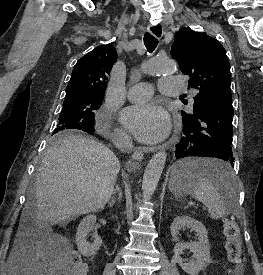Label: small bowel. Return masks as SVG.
Masks as SVG:
<instances>
[{
    "label": "small bowel",
    "mask_w": 263,
    "mask_h": 275,
    "mask_svg": "<svg viewBox=\"0 0 263 275\" xmlns=\"http://www.w3.org/2000/svg\"><path fill=\"white\" fill-rule=\"evenodd\" d=\"M25 263L28 275H59L62 259L49 243L38 247Z\"/></svg>",
    "instance_id": "c3829d8e"
}]
</instances>
